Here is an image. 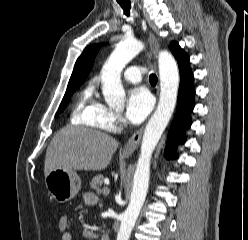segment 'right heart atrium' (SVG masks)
Wrapping results in <instances>:
<instances>
[{"mask_svg": "<svg viewBox=\"0 0 248 240\" xmlns=\"http://www.w3.org/2000/svg\"><path fill=\"white\" fill-rule=\"evenodd\" d=\"M94 123L105 131H115L124 124V120L120 114L102 105L95 116Z\"/></svg>", "mask_w": 248, "mask_h": 240, "instance_id": "d8ad5b80", "label": "right heart atrium"}]
</instances>
